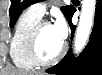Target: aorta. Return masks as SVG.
<instances>
[{
	"label": "aorta",
	"mask_w": 102,
	"mask_h": 75,
	"mask_svg": "<svg viewBox=\"0 0 102 75\" xmlns=\"http://www.w3.org/2000/svg\"><path fill=\"white\" fill-rule=\"evenodd\" d=\"M96 0H83L79 24L76 30L74 51L79 53L87 43L93 26Z\"/></svg>",
	"instance_id": "obj_1"
}]
</instances>
